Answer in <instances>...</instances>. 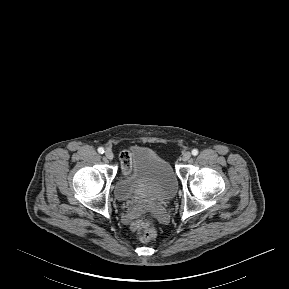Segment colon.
Masks as SVG:
<instances>
[{
    "mask_svg": "<svg viewBox=\"0 0 289 289\" xmlns=\"http://www.w3.org/2000/svg\"><path fill=\"white\" fill-rule=\"evenodd\" d=\"M139 226V237L142 242H149L156 237V232L153 228V215L150 211L142 212L137 218Z\"/></svg>",
    "mask_w": 289,
    "mask_h": 289,
    "instance_id": "colon-1",
    "label": "colon"
}]
</instances>
